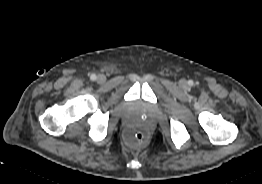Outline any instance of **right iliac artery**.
Segmentation results:
<instances>
[{
  "label": "right iliac artery",
  "instance_id": "1",
  "mask_svg": "<svg viewBox=\"0 0 262 184\" xmlns=\"http://www.w3.org/2000/svg\"><path fill=\"white\" fill-rule=\"evenodd\" d=\"M96 78H97V76H96L95 74H91L90 79H91L92 81H95Z\"/></svg>",
  "mask_w": 262,
  "mask_h": 184
}]
</instances>
